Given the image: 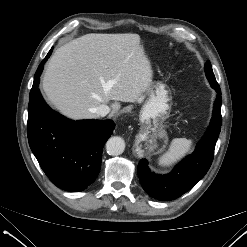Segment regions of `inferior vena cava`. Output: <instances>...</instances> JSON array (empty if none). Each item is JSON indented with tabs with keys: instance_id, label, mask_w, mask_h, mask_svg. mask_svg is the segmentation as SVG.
I'll return each mask as SVG.
<instances>
[{
	"instance_id": "inferior-vena-cava-1",
	"label": "inferior vena cava",
	"mask_w": 247,
	"mask_h": 247,
	"mask_svg": "<svg viewBox=\"0 0 247 247\" xmlns=\"http://www.w3.org/2000/svg\"><path fill=\"white\" fill-rule=\"evenodd\" d=\"M94 112L97 115L104 117L110 112V107L105 105V104H102V105H99L98 107H96L94 109Z\"/></svg>"
}]
</instances>
